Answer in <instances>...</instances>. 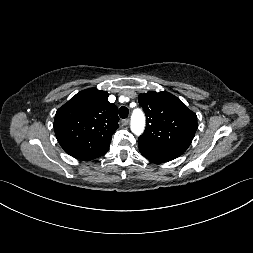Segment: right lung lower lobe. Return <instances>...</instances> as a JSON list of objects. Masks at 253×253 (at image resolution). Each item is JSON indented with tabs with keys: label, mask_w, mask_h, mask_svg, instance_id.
<instances>
[{
	"label": "right lung lower lobe",
	"mask_w": 253,
	"mask_h": 253,
	"mask_svg": "<svg viewBox=\"0 0 253 253\" xmlns=\"http://www.w3.org/2000/svg\"><path fill=\"white\" fill-rule=\"evenodd\" d=\"M108 149H109V147L103 148L97 152H94L92 154L84 156L83 158H81V160H92L97 157H100V156L104 155L108 151Z\"/></svg>",
	"instance_id": "98d812e1"
}]
</instances>
